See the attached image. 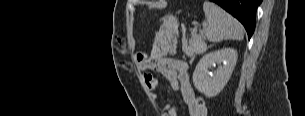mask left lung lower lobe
Here are the masks:
<instances>
[{"instance_id": "1", "label": "left lung lower lobe", "mask_w": 305, "mask_h": 116, "mask_svg": "<svg viewBox=\"0 0 305 116\" xmlns=\"http://www.w3.org/2000/svg\"><path fill=\"white\" fill-rule=\"evenodd\" d=\"M237 18L245 27L249 38L255 29V14L261 0H211Z\"/></svg>"}]
</instances>
